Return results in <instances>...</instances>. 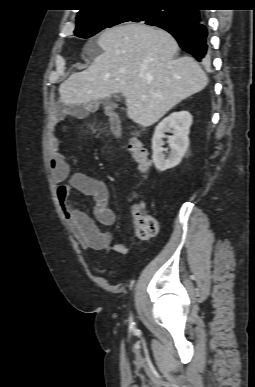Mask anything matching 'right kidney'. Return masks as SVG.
I'll use <instances>...</instances> for the list:
<instances>
[{
    "label": "right kidney",
    "instance_id": "1",
    "mask_svg": "<svg viewBox=\"0 0 255 387\" xmlns=\"http://www.w3.org/2000/svg\"><path fill=\"white\" fill-rule=\"evenodd\" d=\"M192 125V115L187 111L174 112L164 118L156 127L152 138L153 162L155 167L163 172L167 169L177 166L184 157L189 147V132ZM165 133H172L166 136ZM168 139L170 153L166 158L163 148L165 142L163 138Z\"/></svg>",
    "mask_w": 255,
    "mask_h": 387
}]
</instances>
